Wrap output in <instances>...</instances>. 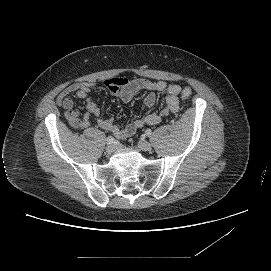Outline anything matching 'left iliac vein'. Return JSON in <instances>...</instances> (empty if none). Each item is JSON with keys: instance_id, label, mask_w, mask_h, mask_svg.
Instances as JSON below:
<instances>
[{"instance_id": "1", "label": "left iliac vein", "mask_w": 271, "mask_h": 271, "mask_svg": "<svg viewBox=\"0 0 271 271\" xmlns=\"http://www.w3.org/2000/svg\"><path fill=\"white\" fill-rule=\"evenodd\" d=\"M138 148L142 151H150L151 150V144L145 140H140L138 142Z\"/></svg>"}]
</instances>
